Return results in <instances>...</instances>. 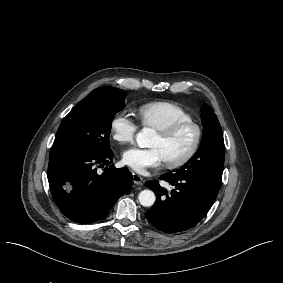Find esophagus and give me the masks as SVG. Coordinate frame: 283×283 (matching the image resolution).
<instances>
[{"mask_svg":"<svg viewBox=\"0 0 283 283\" xmlns=\"http://www.w3.org/2000/svg\"><path fill=\"white\" fill-rule=\"evenodd\" d=\"M132 177H133V183L136 184V185H142L143 184V178L135 173V172H132Z\"/></svg>","mask_w":283,"mask_h":283,"instance_id":"1","label":"esophagus"}]
</instances>
